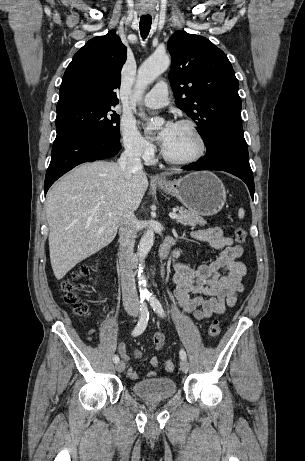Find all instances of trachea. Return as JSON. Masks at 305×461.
I'll use <instances>...</instances> for the list:
<instances>
[{"mask_svg": "<svg viewBox=\"0 0 305 461\" xmlns=\"http://www.w3.org/2000/svg\"><path fill=\"white\" fill-rule=\"evenodd\" d=\"M152 18L151 17H141L140 19V33L143 39H145L151 29Z\"/></svg>", "mask_w": 305, "mask_h": 461, "instance_id": "1", "label": "trachea"}]
</instances>
